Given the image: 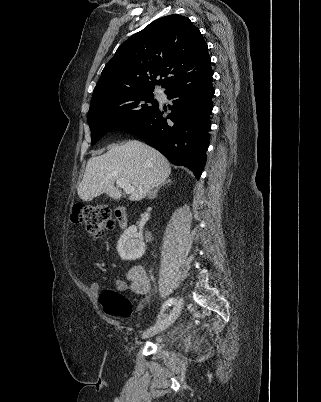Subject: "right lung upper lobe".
<instances>
[{
    "mask_svg": "<svg viewBox=\"0 0 321 402\" xmlns=\"http://www.w3.org/2000/svg\"><path fill=\"white\" fill-rule=\"evenodd\" d=\"M209 64L207 44L187 17L159 18L117 49L101 73L90 106L129 93L154 90L155 85L166 87Z\"/></svg>",
    "mask_w": 321,
    "mask_h": 402,
    "instance_id": "1",
    "label": "right lung upper lobe"
}]
</instances>
